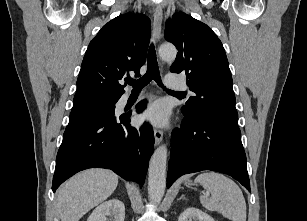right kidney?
Wrapping results in <instances>:
<instances>
[{
	"label": "right kidney",
	"mask_w": 307,
	"mask_h": 221,
	"mask_svg": "<svg viewBox=\"0 0 307 221\" xmlns=\"http://www.w3.org/2000/svg\"><path fill=\"white\" fill-rule=\"evenodd\" d=\"M107 216L113 221H124V203L118 199L105 201L93 210L87 221H107Z\"/></svg>",
	"instance_id": "right-kidney-1"
}]
</instances>
